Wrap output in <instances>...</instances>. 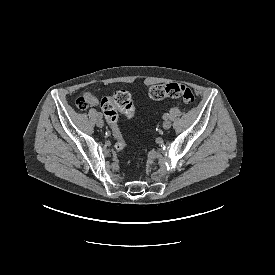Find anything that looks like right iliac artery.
Returning <instances> with one entry per match:
<instances>
[{"label": "right iliac artery", "mask_w": 275, "mask_h": 275, "mask_svg": "<svg viewBox=\"0 0 275 275\" xmlns=\"http://www.w3.org/2000/svg\"><path fill=\"white\" fill-rule=\"evenodd\" d=\"M96 116H97L98 118H102V113H101V112H97V113H96Z\"/></svg>", "instance_id": "1"}]
</instances>
